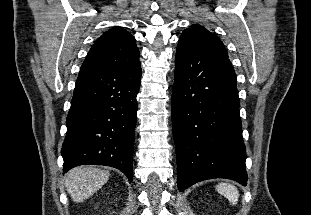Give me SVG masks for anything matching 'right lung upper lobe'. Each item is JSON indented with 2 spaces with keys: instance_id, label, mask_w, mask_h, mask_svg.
<instances>
[{
  "instance_id": "obj_1",
  "label": "right lung upper lobe",
  "mask_w": 311,
  "mask_h": 215,
  "mask_svg": "<svg viewBox=\"0 0 311 215\" xmlns=\"http://www.w3.org/2000/svg\"><path fill=\"white\" fill-rule=\"evenodd\" d=\"M139 63L135 38L116 27L104 33L88 52L81 67L131 68Z\"/></svg>"
}]
</instances>
